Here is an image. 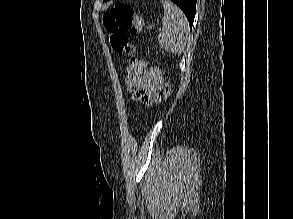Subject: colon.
Wrapping results in <instances>:
<instances>
[{
  "mask_svg": "<svg viewBox=\"0 0 293 219\" xmlns=\"http://www.w3.org/2000/svg\"><path fill=\"white\" fill-rule=\"evenodd\" d=\"M103 26L109 37L113 51L117 54L133 55L137 48L130 42L129 35H137L144 31V23L133 8L122 2L115 3L103 16ZM145 67L144 59L132 58L129 61L128 72L140 74ZM172 93L171 84L166 81L163 87L164 99Z\"/></svg>",
  "mask_w": 293,
  "mask_h": 219,
  "instance_id": "obj_1",
  "label": "colon"
}]
</instances>
